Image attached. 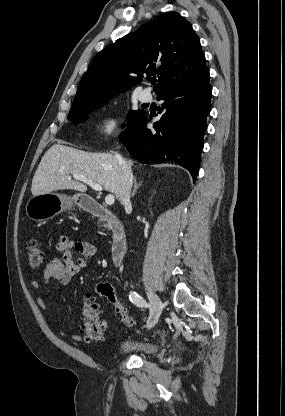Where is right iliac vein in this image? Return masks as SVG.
I'll return each instance as SVG.
<instances>
[{
	"label": "right iliac vein",
	"instance_id": "right-iliac-vein-1",
	"mask_svg": "<svg viewBox=\"0 0 285 416\" xmlns=\"http://www.w3.org/2000/svg\"><path fill=\"white\" fill-rule=\"evenodd\" d=\"M147 295L152 304V312L147 322V327L152 328L157 323L161 315L163 302L159 298V296L156 293L152 292L151 290H148Z\"/></svg>",
	"mask_w": 285,
	"mask_h": 416
}]
</instances>
